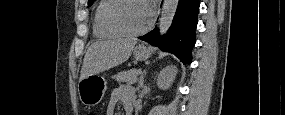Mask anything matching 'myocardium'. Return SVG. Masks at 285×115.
Wrapping results in <instances>:
<instances>
[{"label": "myocardium", "instance_id": "obj_1", "mask_svg": "<svg viewBox=\"0 0 285 115\" xmlns=\"http://www.w3.org/2000/svg\"><path fill=\"white\" fill-rule=\"evenodd\" d=\"M131 1H139L144 3L140 0H113L105 9L103 12V22L106 26L114 29L115 31L119 32L120 34L124 36L129 37H136L140 36L144 33H146L150 28V23H147L144 28L138 30V31H130L123 27L115 18L116 11H118L121 6L126 2Z\"/></svg>", "mask_w": 285, "mask_h": 115}]
</instances>
